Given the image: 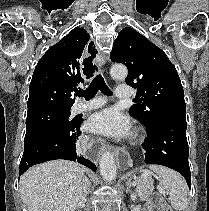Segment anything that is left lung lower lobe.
I'll list each match as a JSON object with an SVG mask.
<instances>
[{"label":"left lung lower lobe","instance_id":"1","mask_svg":"<svg viewBox=\"0 0 209 211\" xmlns=\"http://www.w3.org/2000/svg\"><path fill=\"white\" fill-rule=\"evenodd\" d=\"M186 117H168L147 129L148 137L142 145L146 151L145 163L167 166L181 173L191 188L186 138Z\"/></svg>","mask_w":209,"mask_h":211}]
</instances>
